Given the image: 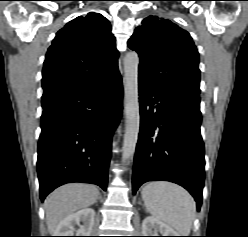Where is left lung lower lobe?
<instances>
[{"mask_svg": "<svg viewBox=\"0 0 248 237\" xmlns=\"http://www.w3.org/2000/svg\"><path fill=\"white\" fill-rule=\"evenodd\" d=\"M140 133L133 168V193L147 181L166 180L202 203L204 144L200 97L165 93L139 79Z\"/></svg>", "mask_w": 248, "mask_h": 237, "instance_id": "0a47b994", "label": "left lung lower lobe"}]
</instances>
